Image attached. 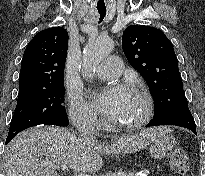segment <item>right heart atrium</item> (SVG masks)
<instances>
[{
	"label": "right heart atrium",
	"instance_id": "d8ad5b80",
	"mask_svg": "<svg viewBox=\"0 0 205 176\" xmlns=\"http://www.w3.org/2000/svg\"><path fill=\"white\" fill-rule=\"evenodd\" d=\"M69 113L73 123L79 127L95 129L100 122L96 111L77 92L68 95Z\"/></svg>",
	"mask_w": 205,
	"mask_h": 176
}]
</instances>
